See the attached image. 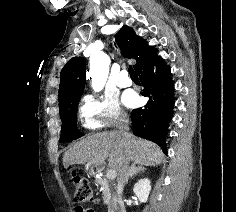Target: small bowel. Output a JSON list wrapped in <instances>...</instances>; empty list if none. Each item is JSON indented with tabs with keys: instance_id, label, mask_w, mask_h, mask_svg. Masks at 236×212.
Wrapping results in <instances>:
<instances>
[{
	"instance_id": "obj_1",
	"label": "small bowel",
	"mask_w": 236,
	"mask_h": 212,
	"mask_svg": "<svg viewBox=\"0 0 236 212\" xmlns=\"http://www.w3.org/2000/svg\"><path fill=\"white\" fill-rule=\"evenodd\" d=\"M88 205H77L75 212H93Z\"/></svg>"
}]
</instances>
